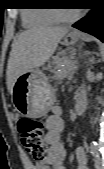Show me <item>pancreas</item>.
Returning <instances> with one entry per match:
<instances>
[{
	"label": "pancreas",
	"mask_w": 104,
	"mask_h": 169,
	"mask_svg": "<svg viewBox=\"0 0 104 169\" xmlns=\"http://www.w3.org/2000/svg\"><path fill=\"white\" fill-rule=\"evenodd\" d=\"M59 64L63 66H60V70L55 72L57 79L62 80L75 71V63L67 57L63 58Z\"/></svg>",
	"instance_id": "obj_1"
}]
</instances>
